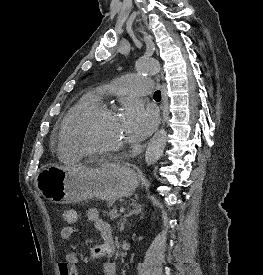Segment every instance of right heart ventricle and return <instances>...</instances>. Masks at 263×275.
<instances>
[{
	"instance_id": "1",
	"label": "right heart ventricle",
	"mask_w": 263,
	"mask_h": 275,
	"mask_svg": "<svg viewBox=\"0 0 263 275\" xmlns=\"http://www.w3.org/2000/svg\"><path fill=\"white\" fill-rule=\"evenodd\" d=\"M99 95L95 92H89L81 97V99L68 111L65 116L60 133V154L71 159L79 158L80 154L70 145L66 136L75 119L88 108L99 103Z\"/></svg>"
}]
</instances>
